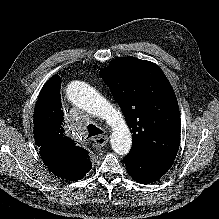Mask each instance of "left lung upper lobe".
<instances>
[{
	"instance_id": "obj_1",
	"label": "left lung upper lobe",
	"mask_w": 219,
	"mask_h": 219,
	"mask_svg": "<svg viewBox=\"0 0 219 219\" xmlns=\"http://www.w3.org/2000/svg\"><path fill=\"white\" fill-rule=\"evenodd\" d=\"M100 75L118 102L133 144L128 155L175 159L180 113L174 90L154 63L135 57L113 59Z\"/></svg>"
}]
</instances>
